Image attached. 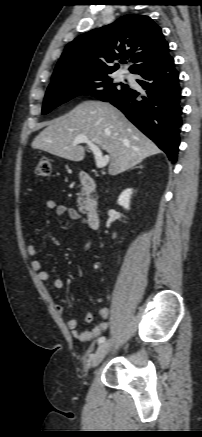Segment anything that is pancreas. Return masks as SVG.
Returning a JSON list of instances; mask_svg holds the SVG:
<instances>
[{"instance_id":"cf45deb5","label":"pancreas","mask_w":202,"mask_h":437,"mask_svg":"<svg viewBox=\"0 0 202 437\" xmlns=\"http://www.w3.org/2000/svg\"><path fill=\"white\" fill-rule=\"evenodd\" d=\"M77 203H78V206H79V210H80L81 212H84V208H83V206H84V204H85V201H84V198H83V194H82V193L79 195L78 200H77Z\"/></svg>"}]
</instances>
